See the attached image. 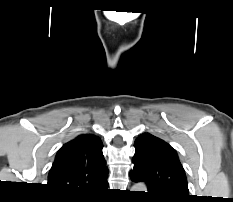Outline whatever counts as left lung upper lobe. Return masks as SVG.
<instances>
[{
	"label": "left lung upper lobe",
	"instance_id": "1",
	"mask_svg": "<svg viewBox=\"0 0 233 202\" xmlns=\"http://www.w3.org/2000/svg\"><path fill=\"white\" fill-rule=\"evenodd\" d=\"M134 146L132 180L145 182L154 201L185 202L189 198L187 179L175 150L150 133L138 136Z\"/></svg>",
	"mask_w": 233,
	"mask_h": 202
}]
</instances>
